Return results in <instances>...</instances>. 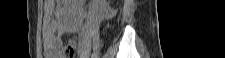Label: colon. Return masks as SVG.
<instances>
[{"label":"colon","mask_w":225,"mask_h":58,"mask_svg":"<svg viewBox=\"0 0 225 58\" xmlns=\"http://www.w3.org/2000/svg\"><path fill=\"white\" fill-rule=\"evenodd\" d=\"M76 52V46L75 44L71 43V44H67L64 49H63V57L67 58V57H72Z\"/></svg>","instance_id":"obj_1"}]
</instances>
